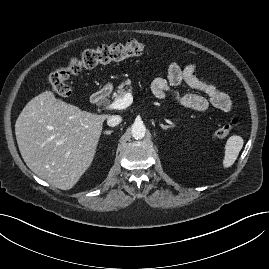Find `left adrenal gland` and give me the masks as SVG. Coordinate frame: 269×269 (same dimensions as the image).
<instances>
[{
    "label": "left adrenal gland",
    "instance_id": "left-adrenal-gland-1",
    "mask_svg": "<svg viewBox=\"0 0 269 269\" xmlns=\"http://www.w3.org/2000/svg\"><path fill=\"white\" fill-rule=\"evenodd\" d=\"M161 128L163 130H166V129H169V128H173L174 126L173 125H163V124H160Z\"/></svg>",
    "mask_w": 269,
    "mask_h": 269
}]
</instances>
